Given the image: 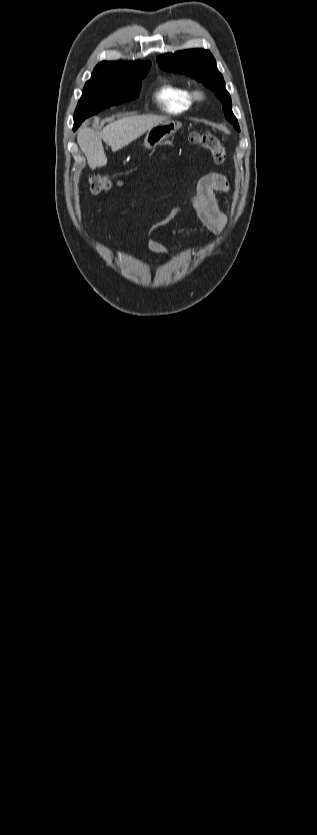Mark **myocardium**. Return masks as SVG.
<instances>
[{
	"mask_svg": "<svg viewBox=\"0 0 317 835\" xmlns=\"http://www.w3.org/2000/svg\"><path fill=\"white\" fill-rule=\"evenodd\" d=\"M205 96H206L205 92L201 89H196V90L191 92L192 101H195V102H200V101L204 100Z\"/></svg>",
	"mask_w": 317,
	"mask_h": 835,
	"instance_id": "myocardium-1",
	"label": "myocardium"
}]
</instances>
